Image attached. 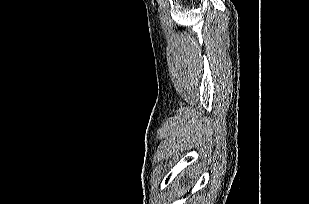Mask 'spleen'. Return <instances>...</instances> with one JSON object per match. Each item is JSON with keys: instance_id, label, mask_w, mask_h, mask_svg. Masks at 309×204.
<instances>
[{"instance_id": "spleen-1", "label": "spleen", "mask_w": 309, "mask_h": 204, "mask_svg": "<svg viewBox=\"0 0 309 204\" xmlns=\"http://www.w3.org/2000/svg\"><path fill=\"white\" fill-rule=\"evenodd\" d=\"M190 173H191L190 176L196 179L197 171H195V169L191 168Z\"/></svg>"}]
</instances>
